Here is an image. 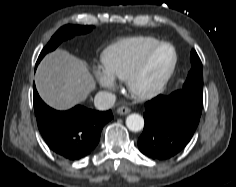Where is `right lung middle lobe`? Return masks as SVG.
I'll return each instance as SVG.
<instances>
[{"label":"right lung middle lobe","mask_w":236,"mask_h":187,"mask_svg":"<svg viewBox=\"0 0 236 187\" xmlns=\"http://www.w3.org/2000/svg\"><path fill=\"white\" fill-rule=\"evenodd\" d=\"M93 29V26H79V25H65L61 27L51 38L49 43L41 51L37 64L41 59L50 51L56 49V47L63 41L68 38L75 36L76 34H85L90 32Z\"/></svg>","instance_id":"right-lung-middle-lobe-1"}]
</instances>
